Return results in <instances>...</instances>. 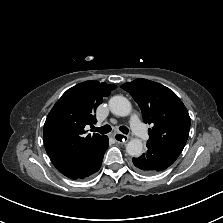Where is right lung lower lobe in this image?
I'll return each instance as SVG.
<instances>
[{
    "label": "right lung lower lobe",
    "mask_w": 223,
    "mask_h": 223,
    "mask_svg": "<svg viewBox=\"0 0 223 223\" xmlns=\"http://www.w3.org/2000/svg\"><path fill=\"white\" fill-rule=\"evenodd\" d=\"M107 147L108 137L105 136L87 154L57 169L68 178L84 179L100 169Z\"/></svg>",
    "instance_id": "1"
}]
</instances>
